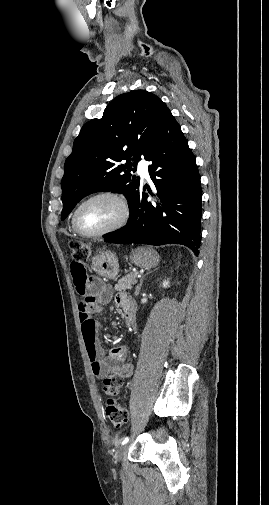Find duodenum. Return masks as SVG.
Listing matches in <instances>:
<instances>
[{
	"label": "duodenum",
	"instance_id": "1",
	"mask_svg": "<svg viewBox=\"0 0 269 505\" xmlns=\"http://www.w3.org/2000/svg\"><path fill=\"white\" fill-rule=\"evenodd\" d=\"M123 309L125 312V317H126L128 325L133 326L134 321H135V313H134L133 307L131 305L127 304V305H125V307Z\"/></svg>",
	"mask_w": 269,
	"mask_h": 505
}]
</instances>
